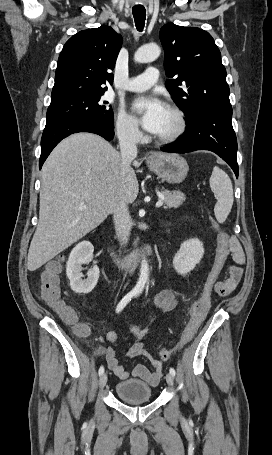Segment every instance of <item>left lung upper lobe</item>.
Segmentation results:
<instances>
[{"mask_svg":"<svg viewBox=\"0 0 272 455\" xmlns=\"http://www.w3.org/2000/svg\"><path fill=\"white\" fill-rule=\"evenodd\" d=\"M160 40L165 72L174 78L165 85L186 122L209 109L231 108L221 53L208 32L168 23L160 30Z\"/></svg>","mask_w":272,"mask_h":455,"instance_id":"obj_1","label":"left lung upper lobe"}]
</instances>
